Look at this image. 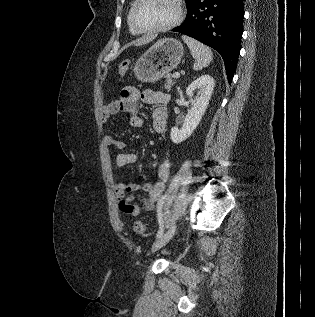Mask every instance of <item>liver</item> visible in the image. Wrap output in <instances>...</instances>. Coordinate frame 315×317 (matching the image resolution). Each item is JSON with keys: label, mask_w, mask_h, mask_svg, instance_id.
Listing matches in <instances>:
<instances>
[{"label": "liver", "mask_w": 315, "mask_h": 317, "mask_svg": "<svg viewBox=\"0 0 315 317\" xmlns=\"http://www.w3.org/2000/svg\"><path fill=\"white\" fill-rule=\"evenodd\" d=\"M154 38H155V36L142 37V38H139V39L133 41L132 43L135 46H142V45H145V44L151 42Z\"/></svg>", "instance_id": "obj_1"}]
</instances>
